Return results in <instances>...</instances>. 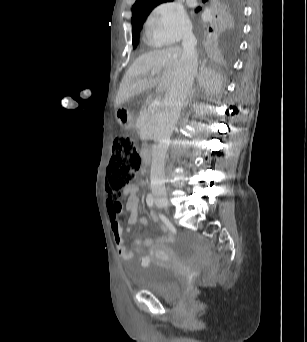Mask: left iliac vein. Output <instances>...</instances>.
Instances as JSON below:
<instances>
[{
    "label": "left iliac vein",
    "mask_w": 307,
    "mask_h": 342,
    "mask_svg": "<svg viewBox=\"0 0 307 342\" xmlns=\"http://www.w3.org/2000/svg\"><path fill=\"white\" fill-rule=\"evenodd\" d=\"M156 205H157V206H160V205L157 203V201H156Z\"/></svg>",
    "instance_id": "1"
}]
</instances>
